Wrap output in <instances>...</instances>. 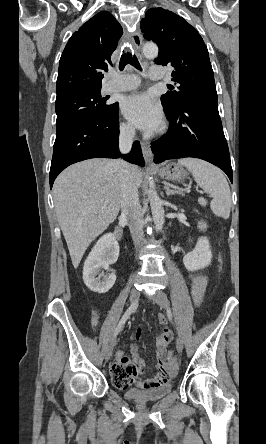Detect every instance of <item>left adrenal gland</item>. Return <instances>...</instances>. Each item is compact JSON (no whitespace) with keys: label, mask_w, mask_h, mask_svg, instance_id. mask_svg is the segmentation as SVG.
Listing matches in <instances>:
<instances>
[{"label":"left adrenal gland","mask_w":266,"mask_h":444,"mask_svg":"<svg viewBox=\"0 0 266 444\" xmlns=\"http://www.w3.org/2000/svg\"><path fill=\"white\" fill-rule=\"evenodd\" d=\"M164 189H165L167 196L174 195V194H181L180 192L171 190L168 186H164Z\"/></svg>","instance_id":"obj_1"}]
</instances>
